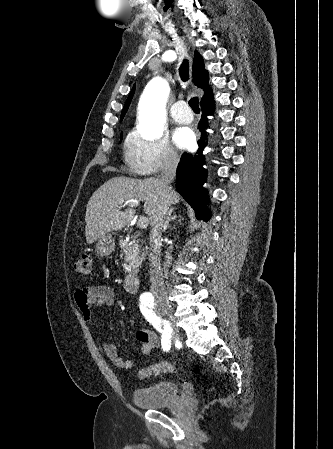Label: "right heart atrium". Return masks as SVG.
I'll return each mask as SVG.
<instances>
[{
    "instance_id": "d8ad5b80",
    "label": "right heart atrium",
    "mask_w": 333,
    "mask_h": 449,
    "mask_svg": "<svg viewBox=\"0 0 333 449\" xmlns=\"http://www.w3.org/2000/svg\"><path fill=\"white\" fill-rule=\"evenodd\" d=\"M126 159L135 173L151 176L175 168L179 156L165 137L147 139L132 134L126 144Z\"/></svg>"
}]
</instances>
